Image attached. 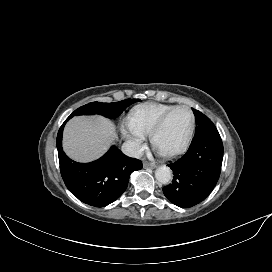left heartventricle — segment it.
I'll use <instances>...</instances> for the list:
<instances>
[{
	"instance_id": "left-heart-ventricle-1",
	"label": "left heart ventricle",
	"mask_w": 272,
	"mask_h": 272,
	"mask_svg": "<svg viewBox=\"0 0 272 272\" xmlns=\"http://www.w3.org/2000/svg\"><path fill=\"white\" fill-rule=\"evenodd\" d=\"M190 123V114L185 109H179L172 113L161 132L155 138L154 149L158 152L176 149L185 140Z\"/></svg>"
}]
</instances>
